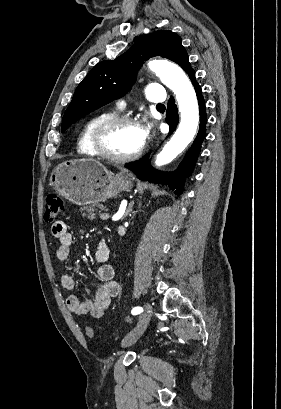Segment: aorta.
Here are the masks:
<instances>
[{
  "mask_svg": "<svg viewBox=\"0 0 281 409\" xmlns=\"http://www.w3.org/2000/svg\"><path fill=\"white\" fill-rule=\"evenodd\" d=\"M148 67L174 92L181 115L178 129L156 157V166H163L193 140L199 124V106L195 90L180 67L166 60L150 61Z\"/></svg>",
  "mask_w": 281,
  "mask_h": 409,
  "instance_id": "obj_1",
  "label": "aorta"
}]
</instances>
